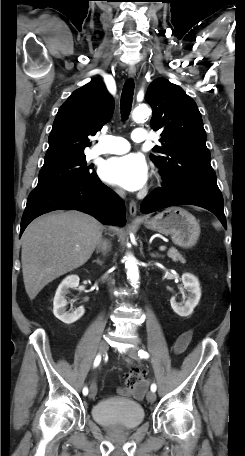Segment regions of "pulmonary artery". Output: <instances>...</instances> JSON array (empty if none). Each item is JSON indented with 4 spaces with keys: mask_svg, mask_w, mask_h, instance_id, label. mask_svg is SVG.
<instances>
[{
    "mask_svg": "<svg viewBox=\"0 0 245 456\" xmlns=\"http://www.w3.org/2000/svg\"><path fill=\"white\" fill-rule=\"evenodd\" d=\"M131 138L134 142L140 143L148 138V134L144 129L137 128L132 132ZM130 149L129 142L118 136H103L91 151L92 156L103 154H122Z\"/></svg>",
    "mask_w": 245,
    "mask_h": 456,
    "instance_id": "pulmonary-artery-1",
    "label": "pulmonary artery"
}]
</instances>
